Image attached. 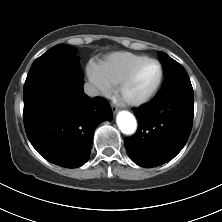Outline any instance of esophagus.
<instances>
[{
    "label": "esophagus",
    "mask_w": 222,
    "mask_h": 222,
    "mask_svg": "<svg viewBox=\"0 0 222 222\" xmlns=\"http://www.w3.org/2000/svg\"><path fill=\"white\" fill-rule=\"evenodd\" d=\"M112 110H113V113H117L118 112V108L114 105H112Z\"/></svg>",
    "instance_id": "obj_1"
}]
</instances>
